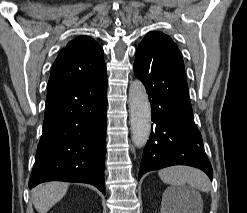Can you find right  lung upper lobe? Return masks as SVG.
I'll list each match as a JSON object with an SVG mask.
<instances>
[{"label":"right lung upper lobe","instance_id":"right-lung-upper-lobe-1","mask_svg":"<svg viewBox=\"0 0 247 213\" xmlns=\"http://www.w3.org/2000/svg\"><path fill=\"white\" fill-rule=\"evenodd\" d=\"M105 71L103 49L93 38L79 36L70 41L56 58L47 90Z\"/></svg>","mask_w":247,"mask_h":213}]
</instances>
